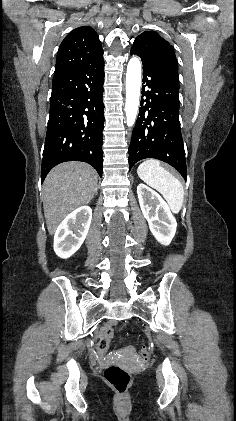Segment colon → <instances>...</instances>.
I'll use <instances>...</instances> for the list:
<instances>
[{
    "label": "colon",
    "instance_id": "obj_1",
    "mask_svg": "<svg viewBox=\"0 0 236 421\" xmlns=\"http://www.w3.org/2000/svg\"><path fill=\"white\" fill-rule=\"evenodd\" d=\"M113 336V328L107 327L104 336L98 343V348L101 353H105L108 350L109 342ZM141 356L144 359H149L151 352L149 348L143 347L141 349ZM104 378L106 382L118 393H125L131 385L132 375L129 371L125 370L119 365H109L104 371Z\"/></svg>",
    "mask_w": 236,
    "mask_h": 421
}]
</instances>
